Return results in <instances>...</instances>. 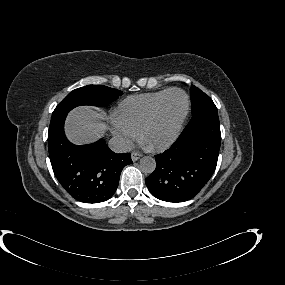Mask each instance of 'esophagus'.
<instances>
[{"instance_id":"esophagus-1","label":"esophagus","mask_w":285,"mask_h":285,"mask_svg":"<svg viewBox=\"0 0 285 285\" xmlns=\"http://www.w3.org/2000/svg\"><path fill=\"white\" fill-rule=\"evenodd\" d=\"M141 156H142V154L139 153V152H136V151H133V152L131 153V157H132V161H133V162H135V161H137L138 159H140Z\"/></svg>"}]
</instances>
